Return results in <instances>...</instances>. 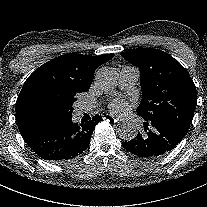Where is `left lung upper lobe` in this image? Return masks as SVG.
<instances>
[{"label": "left lung upper lobe", "instance_id": "5c2ea615", "mask_svg": "<svg viewBox=\"0 0 207 207\" xmlns=\"http://www.w3.org/2000/svg\"><path fill=\"white\" fill-rule=\"evenodd\" d=\"M140 69L142 102L137 113L147 122L168 124L185 136L196 108V86L186 69L167 53L151 48L122 52Z\"/></svg>", "mask_w": 207, "mask_h": 207}]
</instances>
